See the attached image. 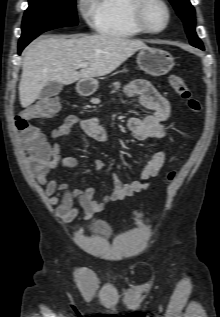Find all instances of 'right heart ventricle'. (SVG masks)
I'll use <instances>...</instances> for the list:
<instances>
[{
  "label": "right heart ventricle",
  "instance_id": "obj_1",
  "mask_svg": "<svg viewBox=\"0 0 220 317\" xmlns=\"http://www.w3.org/2000/svg\"><path fill=\"white\" fill-rule=\"evenodd\" d=\"M137 0H97L95 27L105 36L131 38L144 34L133 20Z\"/></svg>",
  "mask_w": 220,
  "mask_h": 317
}]
</instances>
